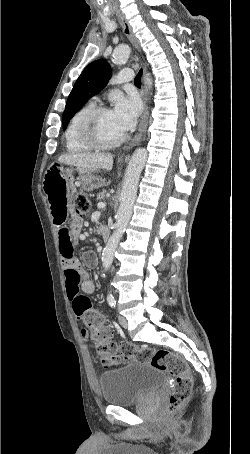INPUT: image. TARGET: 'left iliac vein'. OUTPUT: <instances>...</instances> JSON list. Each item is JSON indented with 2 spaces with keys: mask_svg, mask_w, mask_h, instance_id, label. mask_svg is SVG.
<instances>
[{
  "mask_svg": "<svg viewBox=\"0 0 250 454\" xmlns=\"http://www.w3.org/2000/svg\"><path fill=\"white\" fill-rule=\"evenodd\" d=\"M119 322H120V325L123 327V328H127L128 327V323H127V320L125 317H123L122 315H119Z\"/></svg>",
  "mask_w": 250,
  "mask_h": 454,
  "instance_id": "left-iliac-vein-1",
  "label": "left iliac vein"
}]
</instances>
